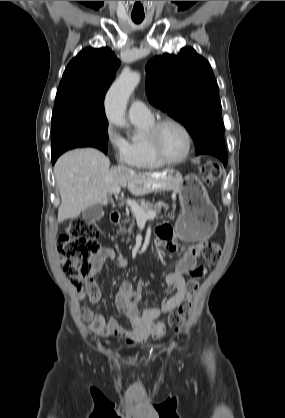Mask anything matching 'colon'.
Segmentation results:
<instances>
[{
  "label": "colon",
  "mask_w": 285,
  "mask_h": 418,
  "mask_svg": "<svg viewBox=\"0 0 285 418\" xmlns=\"http://www.w3.org/2000/svg\"><path fill=\"white\" fill-rule=\"evenodd\" d=\"M223 175V170L213 161L203 167V182L212 185ZM98 227L81 219H73L65 227L57 239V247L61 254L63 271L71 284L84 288L91 277L89 258L99 250L97 242ZM223 246L219 241L207 243L202 250L205 262H215L222 254ZM198 286L197 276L191 278L187 284V295L177 311L169 315V328L179 331L185 324L186 318L193 308V298ZM157 328L164 333L165 327Z\"/></svg>",
  "instance_id": "colon-1"
}]
</instances>
